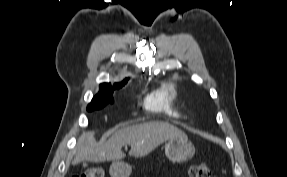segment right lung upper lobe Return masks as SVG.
<instances>
[{
    "mask_svg": "<svg viewBox=\"0 0 287 177\" xmlns=\"http://www.w3.org/2000/svg\"><path fill=\"white\" fill-rule=\"evenodd\" d=\"M128 79L126 78L124 81L122 82H119V83H114L113 87H116V86H120V85H124L125 83H127ZM100 87H111V84L110 83H103L100 85Z\"/></svg>",
    "mask_w": 287,
    "mask_h": 177,
    "instance_id": "1",
    "label": "right lung upper lobe"
}]
</instances>
